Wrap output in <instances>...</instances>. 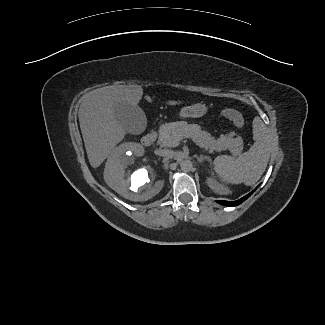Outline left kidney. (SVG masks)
<instances>
[{
	"instance_id": "1",
	"label": "left kidney",
	"mask_w": 325,
	"mask_h": 325,
	"mask_svg": "<svg viewBox=\"0 0 325 325\" xmlns=\"http://www.w3.org/2000/svg\"><path fill=\"white\" fill-rule=\"evenodd\" d=\"M207 184L215 193L225 195L231 192L227 187L219 184L215 179L211 177L207 178Z\"/></svg>"
}]
</instances>
